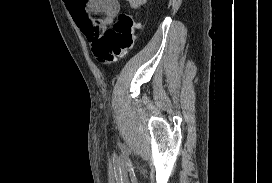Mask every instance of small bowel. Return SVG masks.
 <instances>
[{"label":"small bowel","mask_w":272,"mask_h":183,"mask_svg":"<svg viewBox=\"0 0 272 183\" xmlns=\"http://www.w3.org/2000/svg\"><path fill=\"white\" fill-rule=\"evenodd\" d=\"M140 10L147 0H126ZM66 7L81 32L89 39L101 35L119 12L118 0H65Z\"/></svg>","instance_id":"small-bowel-1"}]
</instances>
